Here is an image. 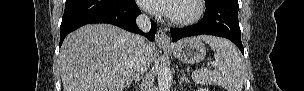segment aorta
Listing matches in <instances>:
<instances>
[{"label":"aorta","instance_id":"obj_1","mask_svg":"<svg viewBox=\"0 0 304 91\" xmlns=\"http://www.w3.org/2000/svg\"><path fill=\"white\" fill-rule=\"evenodd\" d=\"M158 87L160 91H169L171 82H172V76L169 67L166 63H162L158 70Z\"/></svg>","mask_w":304,"mask_h":91}]
</instances>
